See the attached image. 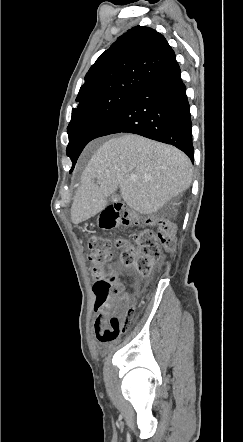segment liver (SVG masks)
Wrapping results in <instances>:
<instances>
[{"label":"liver","mask_w":243,"mask_h":442,"mask_svg":"<svg viewBox=\"0 0 243 442\" xmlns=\"http://www.w3.org/2000/svg\"><path fill=\"white\" fill-rule=\"evenodd\" d=\"M132 175L138 178L131 180ZM192 175L189 158L171 145L134 134L111 138L97 149L81 175L71 220L79 224L104 210L107 197L118 187L131 209L151 214L187 190Z\"/></svg>","instance_id":"6515ba94"}]
</instances>
